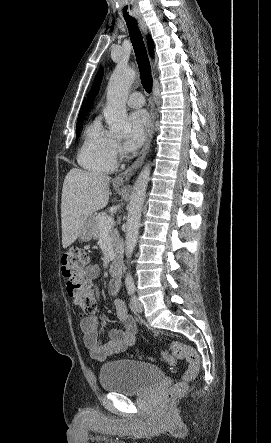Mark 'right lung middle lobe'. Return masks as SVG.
Segmentation results:
<instances>
[{
  "mask_svg": "<svg viewBox=\"0 0 271 443\" xmlns=\"http://www.w3.org/2000/svg\"><path fill=\"white\" fill-rule=\"evenodd\" d=\"M83 120H84V119L77 120V126H76V133H77V134L79 133V131H80V129H81V126H82Z\"/></svg>",
  "mask_w": 271,
  "mask_h": 443,
  "instance_id": "1",
  "label": "right lung middle lobe"
}]
</instances>
